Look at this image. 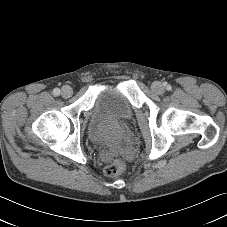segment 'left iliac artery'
<instances>
[{"label": "left iliac artery", "instance_id": "44dca946", "mask_svg": "<svg viewBox=\"0 0 227 227\" xmlns=\"http://www.w3.org/2000/svg\"><path fill=\"white\" fill-rule=\"evenodd\" d=\"M166 88H167V89H170V86H169V85H167V86H166Z\"/></svg>", "mask_w": 227, "mask_h": 227}]
</instances>
